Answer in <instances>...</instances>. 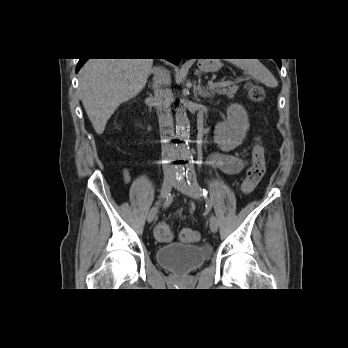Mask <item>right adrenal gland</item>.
Returning <instances> with one entry per match:
<instances>
[{"label":"right adrenal gland","instance_id":"obj_1","mask_svg":"<svg viewBox=\"0 0 348 348\" xmlns=\"http://www.w3.org/2000/svg\"><path fill=\"white\" fill-rule=\"evenodd\" d=\"M148 87H150V88H152L153 89V86H152V84L150 83V84H148Z\"/></svg>","mask_w":348,"mask_h":348}]
</instances>
